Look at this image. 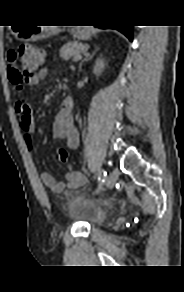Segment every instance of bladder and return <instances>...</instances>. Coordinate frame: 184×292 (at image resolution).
Here are the masks:
<instances>
[{"label":"bladder","instance_id":"1","mask_svg":"<svg viewBox=\"0 0 184 292\" xmlns=\"http://www.w3.org/2000/svg\"><path fill=\"white\" fill-rule=\"evenodd\" d=\"M64 208L71 219L84 222L90 226L101 225L109 218L107 204L95 202L78 192L66 195Z\"/></svg>","mask_w":184,"mask_h":292}]
</instances>
